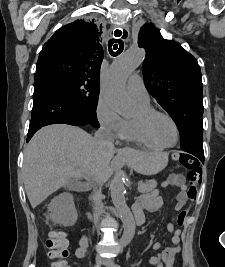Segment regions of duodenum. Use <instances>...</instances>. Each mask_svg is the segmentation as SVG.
<instances>
[{
  "label": "duodenum",
  "mask_w": 225,
  "mask_h": 267,
  "mask_svg": "<svg viewBox=\"0 0 225 267\" xmlns=\"http://www.w3.org/2000/svg\"><path fill=\"white\" fill-rule=\"evenodd\" d=\"M134 213H135V217H134V219H133V221H132L131 224H132L133 226L143 224V222H144V217H143L142 213L136 211V209H134ZM88 215H89V217H91V214H90V213H88Z\"/></svg>",
  "instance_id": "1"
}]
</instances>
